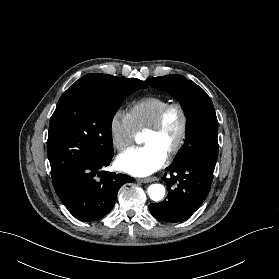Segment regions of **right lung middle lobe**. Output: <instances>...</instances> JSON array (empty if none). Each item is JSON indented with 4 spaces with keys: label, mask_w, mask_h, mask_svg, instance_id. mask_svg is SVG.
Instances as JSON below:
<instances>
[{
    "label": "right lung middle lobe",
    "mask_w": 279,
    "mask_h": 279,
    "mask_svg": "<svg viewBox=\"0 0 279 279\" xmlns=\"http://www.w3.org/2000/svg\"><path fill=\"white\" fill-rule=\"evenodd\" d=\"M142 88L139 79L87 74L63 93L49 125L52 181L82 163L113 155L112 118L122 100Z\"/></svg>",
    "instance_id": "1"
}]
</instances>
